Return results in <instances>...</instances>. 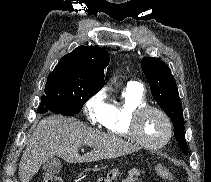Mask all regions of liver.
Here are the masks:
<instances>
[{
	"instance_id": "1",
	"label": "liver",
	"mask_w": 211,
	"mask_h": 182,
	"mask_svg": "<svg viewBox=\"0 0 211 182\" xmlns=\"http://www.w3.org/2000/svg\"><path fill=\"white\" fill-rule=\"evenodd\" d=\"M93 151L79 155L81 146ZM139 148L121 138L86 126L76 118L52 115L42 119L28 139L19 164L21 182H30L41 164L57 156L68 163H86L130 154Z\"/></svg>"
}]
</instances>
